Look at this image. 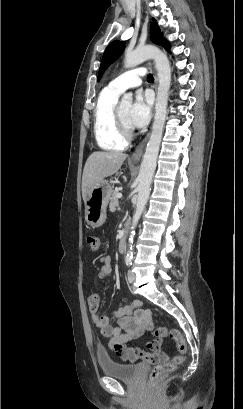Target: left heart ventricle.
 <instances>
[{
  "label": "left heart ventricle",
  "instance_id": "b2bd125f",
  "mask_svg": "<svg viewBox=\"0 0 243 409\" xmlns=\"http://www.w3.org/2000/svg\"><path fill=\"white\" fill-rule=\"evenodd\" d=\"M130 107H131L130 104H121V105H119L120 116H121L123 122L128 126H130L129 122H128V115H129Z\"/></svg>",
  "mask_w": 243,
  "mask_h": 409
}]
</instances>
